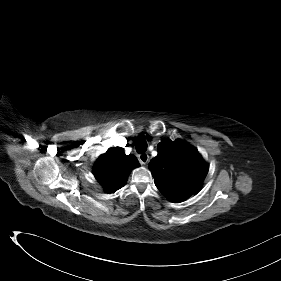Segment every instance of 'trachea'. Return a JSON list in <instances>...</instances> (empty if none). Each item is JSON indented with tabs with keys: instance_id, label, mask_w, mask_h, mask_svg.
<instances>
[{
	"instance_id": "trachea-1",
	"label": "trachea",
	"mask_w": 281,
	"mask_h": 281,
	"mask_svg": "<svg viewBox=\"0 0 281 281\" xmlns=\"http://www.w3.org/2000/svg\"><path fill=\"white\" fill-rule=\"evenodd\" d=\"M135 148L138 153H144L147 150V142L144 138L139 137L135 141Z\"/></svg>"
}]
</instances>
